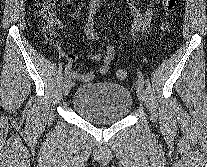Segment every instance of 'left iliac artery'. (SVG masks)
I'll use <instances>...</instances> for the list:
<instances>
[{"label": "left iliac artery", "mask_w": 207, "mask_h": 167, "mask_svg": "<svg viewBox=\"0 0 207 167\" xmlns=\"http://www.w3.org/2000/svg\"><path fill=\"white\" fill-rule=\"evenodd\" d=\"M137 76L139 80L144 84V77L142 75V72L140 70H137Z\"/></svg>", "instance_id": "44dca946"}]
</instances>
